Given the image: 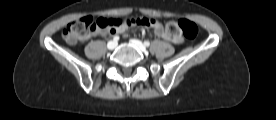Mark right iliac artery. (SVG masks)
<instances>
[{"label": "right iliac artery", "instance_id": "right-iliac-artery-1", "mask_svg": "<svg viewBox=\"0 0 276 120\" xmlns=\"http://www.w3.org/2000/svg\"><path fill=\"white\" fill-rule=\"evenodd\" d=\"M113 40L117 42L119 40V36H114Z\"/></svg>", "mask_w": 276, "mask_h": 120}]
</instances>
